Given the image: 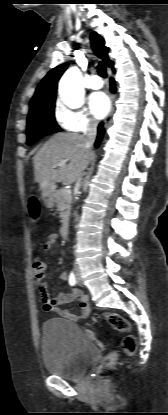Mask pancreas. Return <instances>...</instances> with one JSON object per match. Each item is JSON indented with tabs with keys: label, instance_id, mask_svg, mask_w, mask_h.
Here are the masks:
<instances>
[{
	"label": "pancreas",
	"instance_id": "cf45deb5",
	"mask_svg": "<svg viewBox=\"0 0 168 415\" xmlns=\"http://www.w3.org/2000/svg\"><path fill=\"white\" fill-rule=\"evenodd\" d=\"M54 200L60 211V222L64 224L69 219L72 195L66 194L65 190H58L54 193Z\"/></svg>",
	"mask_w": 168,
	"mask_h": 415
}]
</instances>
